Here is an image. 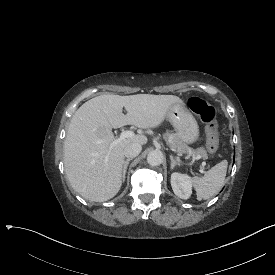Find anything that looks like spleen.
Masks as SVG:
<instances>
[{
  "label": "spleen",
  "instance_id": "3e777b00",
  "mask_svg": "<svg viewBox=\"0 0 275 275\" xmlns=\"http://www.w3.org/2000/svg\"><path fill=\"white\" fill-rule=\"evenodd\" d=\"M228 161L223 160L212 167L202 177H196L194 183L198 200L209 199L215 196L224 184Z\"/></svg>",
  "mask_w": 275,
  "mask_h": 275
}]
</instances>
